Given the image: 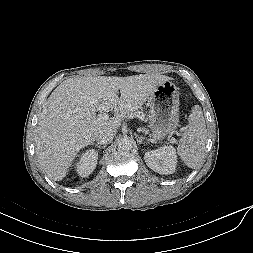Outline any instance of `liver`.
Here are the masks:
<instances>
[{
	"label": "liver",
	"instance_id": "1",
	"mask_svg": "<svg viewBox=\"0 0 253 253\" xmlns=\"http://www.w3.org/2000/svg\"><path fill=\"white\" fill-rule=\"evenodd\" d=\"M171 79L160 74H140L74 77L63 81L46 101L36 129L40 167L52 180H62L76 154L95 140L100 129L108 126L118 129L122 119L137 114L158 85ZM112 110L114 117L96 119V111Z\"/></svg>",
	"mask_w": 253,
	"mask_h": 253
}]
</instances>
